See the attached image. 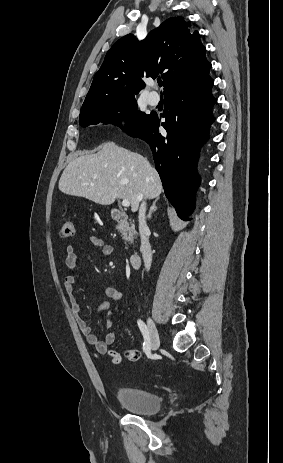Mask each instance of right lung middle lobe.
<instances>
[{
  "label": "right lung middle lobe",
  "mask_w": 283,
  "mask_h": 463,
  "mask_svg": "<svg viewBox=\"0 0 283 463\" xmlns=\"http://www.w3.org/2000/svg\"><path fill=\"white\" fill-rule=\"evenodd\" d=\"M135 97L107 98L82 106L79 124L86 127L99 122L119 126L121 120L128 122L123 131L132 134L146 122L149 115L137 111Z\"/></svg>",
  "instance_id": "1"
}]
</instances>
